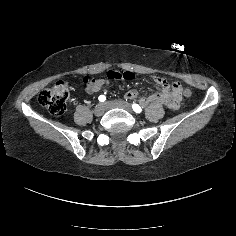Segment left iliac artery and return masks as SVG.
<instances>
[{
	"instance_id": "44dca946",
	"label": "left iliac artery",
	"mask_w": 236,
	"mask_h": 236,
	"mask_svg": "<svg viewBox=\"0 0 236 236\" xmlns=\"http://www.w3.org/2000/svg\"><path fill=\"white\" fill-rule=\"evenodd\" d=\"M132 109L134 110V112L136 113H141L142 109L138 104H132Z\"/></svg>"
}]
</instances>
